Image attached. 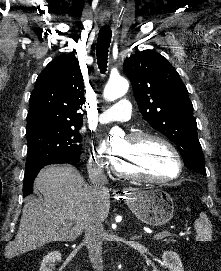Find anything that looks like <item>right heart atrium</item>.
I'll use <instances>...</instances> for the list:
<instances>
[{"label":"right heart atrium","instance_id":"1","mask_svg":"<svg viewBox=\"0 0 221 271\" xmlns=\"http://www.w3.org/2000/svg\"><path fill=\"white\" fill-rule=\"evenodd\" d=\"M96 157H97L98 159H99V158L102 159L104 156H103L102 154H101V155L98 154Z\"/></svg>","mask_w":221,"mask_h":271}]
</instances>
